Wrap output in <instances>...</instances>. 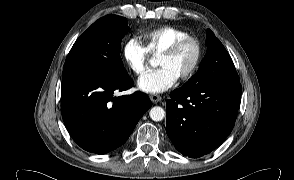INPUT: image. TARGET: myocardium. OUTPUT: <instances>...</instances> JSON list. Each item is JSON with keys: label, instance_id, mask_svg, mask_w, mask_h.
<instances>
[{"label": "myocardium", "instance_id": "f54148a6", "mask_svg": "<svg viewBox=\"0 0 294 180\" xmlns=\"http://www.w3.org/2000/svg\"><path fill=\"white\" fill-rule=\"evenodd\" d=\"M187 44H192L194 46L195 57L189 70L179 78V80L182 82L191 79L195 75V73L197 72L200 66V63L203 57V46L201 42L199 41V39L189 35L186 37L179 38L176 41H174L165 51H163L159 55V57L174 56L182 47H184Z\"/></svg>", "mask_w": 294, "mask_h": 180}]
</instances>
